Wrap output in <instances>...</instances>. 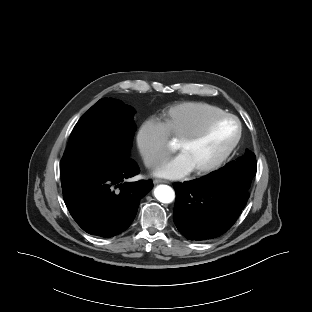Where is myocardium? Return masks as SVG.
I'll return each instance as SVG.
<instances>
[{"label": "myocardium", "instance_id": "myocardium-1", "mask_svg": "<svg viewBox=\"0 0 312 312\" xmlns=\"http://www.w3.org/2000/svg\"><path fill=\"white\" fill-rule=\"evenodd\" d=\"M225 119H231L233 120L237 125V134L234 138L233 142L230 144V146L226 149V151L215 161L210 163L207 166L197 168L193 170L194 174L196 175H205L208 174L216 169H218L234 152L236 147L238 146L241 137H242V125L240 120L232 114L224 113L218 116H214L210 119H208L201 127H199L197 130L193 131L190 134H187L186 136L182 137L179 141V146L183 147L185 145L191 144L199 140L204 134L207 133V131L217 122Z\"/></svg>", "mask_w": 312, "mask_h": 312}]
</instances>
